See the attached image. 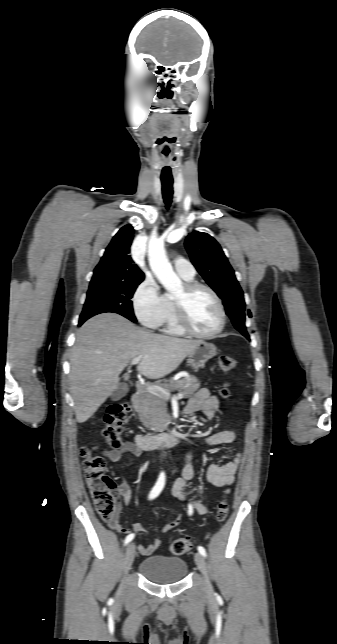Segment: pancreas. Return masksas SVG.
Here are the masks:
<instances>
[{"label":"pancreas","instance_id":"cf45deb5","mask_svg":"<svg viewBox=\"0 0 337 644\" xmlns=\"http://www.w3.org/2000/svg\"><path fill=\"white\" fill-rule=\"evenodd\" d=\"M167 391L177 390L184 398L191 397L200 387L195 376H185L183 379L169 384H158ZM167 398L162 394H152L147 389L140 388L139 419L142 424L153 431H162L170 421L167 413Z\"/></svg>","mask_w":337,"mask_h":644}]
</instances>
